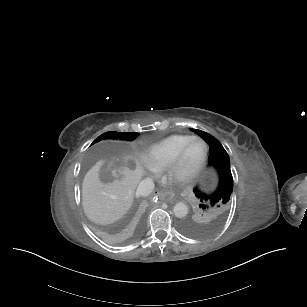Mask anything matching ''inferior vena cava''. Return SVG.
Masks as SVG:
<instances>
[{
  "instance_id": "obj_1",
  "label": "inferior vena cava",
  "mask_w": 307,
  "mask_h": 307,
  "mask_svg": "<svg viewBox=\"0 0 307 307\" xmlns=\"http://www.w3.org/2000/svg\"><path fill=\"white\" fill-rule=\"evenodd\" d=\"M154 183L151 179L147 178L142 180L137 188V196L147 197L154 191Z\"/></svg>"
}]
</instances>
